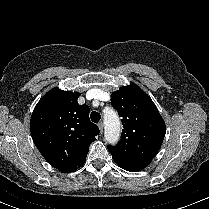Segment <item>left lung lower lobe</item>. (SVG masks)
Here are the masks:
<instances>
[{
  "label": "left lung lower lobe",
  "instance_id": "1",
  "mask_svg": "<svg viewBox=\"0 0 209 209\" xmlns=\"http://www.w3.org/2000/svg\"><path fill=\"white\" fill-rule=\"evenodd\" d=\"M114 161L116 162L118 166L130 172L140 171L147 166V165L137 163V162L123 161V160H117V159H114Z\"/></svg>",
  "mask_w": 209,
  "mask_h": 209
}]
</instances>
